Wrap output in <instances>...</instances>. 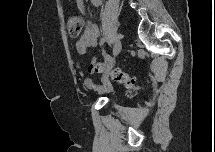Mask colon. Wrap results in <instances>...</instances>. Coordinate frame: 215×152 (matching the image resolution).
<instances>
[{"label": "colon", "mask_w": 215, "mask_h": 152, "mask_svg": "<svg viewBox=\"0 0 215 152\" xmlns=\"http://www.w3.org/2000/svg\"><path fill=\"white\" fill-rule=\"evenodd\" d=\"M67 28L72 37H77L83 28V20L75 15L67 18ZM88 71L90 73L110 76L114 81L123 84L128 90L137 91L139 86L136 80L118 68H112L107 62H91Z\"/></svg>", "instance_id": "colon-1"}]
</instances>
